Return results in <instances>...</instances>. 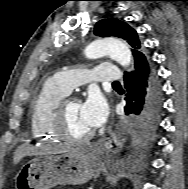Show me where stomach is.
Wrapping results in <instances>:
<instances>
[{"mask_svg": "<svg viewBox=\"0 0 188 189\" xmlns=\"http://www.w3.org/2000/svg\"><path fill=\"white\" fill-rule=\"evenodd\" d=\"M96 154H61L36 157L23 165L15 178L16 189H50L58 184H84L100 175Z\"/></svg>", "mask_w": 188, "mask_h": 189, "instance_id": "1", "label": "stomach"}]
</instances>
